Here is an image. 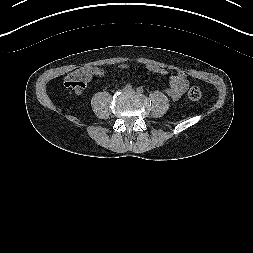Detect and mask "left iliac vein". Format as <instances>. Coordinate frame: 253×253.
<instances>
[{"label":"left iliac vein","instance_id":"4c4485c4","mask_svg":"<svg viewBox=\"0 0 253 253\" xmlns=\"http://www.w3.org/2000/svg\"><path fill=\"white\" fill-rule=\"evenodd\" d=\"M127 92L134 94V93H135V90L130 89V90H127Z\"/></svg>","mask_w":253,"mask_h":253}]
</instances>
